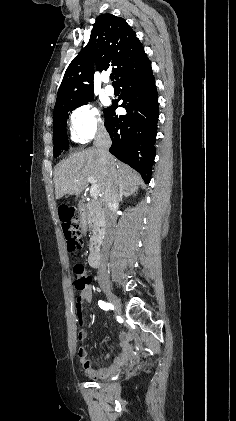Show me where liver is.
Here are the masks:
<instances>
[{
  "label": "liver",
  "mask_w": 236,
  "mask_h": 421,
  "mask_svg": "<svg viewBox=\"0 0 236 421\" xmlns=\"http://www.w3.org/2000/svg\"><path fill=\"white\" fill-rule=\"evenodd\" d=\"M110 166L116 170V178H111V170L107 164L100 160L97 148H87L82 152H73L69 158L62 160L54 168L55 196L61 198L64 194H76L79 196L88 186L87 176H93L99 188L101 198H104L105 188L108 182H114L118 188L127 194L136 192L137 184H144L138 172L132 170L127 164L117 162L113 156L109 160Z\"/></svg>",
  "instance_id": "6515ba94"
}]
</instances>
